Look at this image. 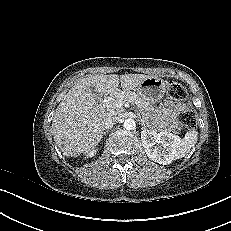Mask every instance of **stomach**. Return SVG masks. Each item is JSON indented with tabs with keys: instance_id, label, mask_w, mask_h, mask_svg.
<instances>
[{
	"instance_id": "stomach-1",
	"label": "stomach",
	"mask_w": 231,
	"mask_h": 231,
	"mask_svg": "<svg viewBox=\"0 0 231 231\" xmlns=\"http://www.w3.org/2000/svg\"><path fill=\"white\" fill-rule=\"evenodd\" d=\"M166 88V80L157 76H150L143 80L134 91L140 98L148 102H158L164 97Z\"/></svg>"
}]
</instances>
